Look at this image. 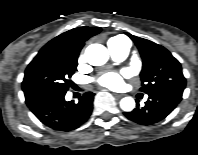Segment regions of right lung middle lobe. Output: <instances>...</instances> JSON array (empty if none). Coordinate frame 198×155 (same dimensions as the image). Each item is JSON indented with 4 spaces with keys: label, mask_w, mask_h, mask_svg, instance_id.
<instances>
[{
    "label": "right lung middle lobe",
    "mask_w": 198,
    "mask_h": 155,
    "mask_svg": "<svg viewBox=\"0 0 198 155\" xmlns=\"http://www.w3.org/2000/svg\"><path fill=\"white\" fill-rule=\"evenodd\" d=\"M78 55L79 51L75 49H41L25 71L23 91H67L71 85L69 79L77 68Z\"/></svg>",
    "instance_id": "1"
}]
</instances>
